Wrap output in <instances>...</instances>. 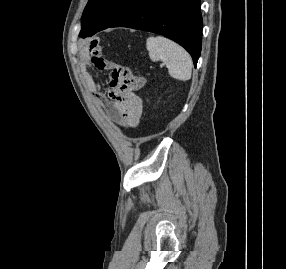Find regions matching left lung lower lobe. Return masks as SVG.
<instances>
[{"instance_id":"1","label":"left lung lower lobe","mask_w":286,"mask_h":269,"mask_svg":"<svg viewBox=\"0 0 286 269\" xmlns=\"http://www.w3.org/2000/svg\"><path fill=\"white\" fill-rule=\"evenodd\" d=\"M109 27H129L168 37L189 52L194 66L200 56V0H142L138 6L106 28Z\"/></svg>"}]
</instances>
